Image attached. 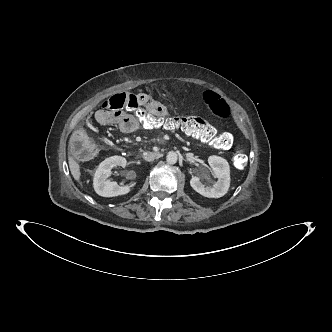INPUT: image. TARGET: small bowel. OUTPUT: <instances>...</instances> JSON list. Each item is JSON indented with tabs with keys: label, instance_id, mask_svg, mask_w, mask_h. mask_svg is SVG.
<instances>
[{
	"label": "small bowel",
	"instance_id": "c3829d8e",
	"mask_svg": "<svg viewBox=\"0 0 332 332\" xmlns=\"http://www.w3.org/2000/svg\"><path fill=\"white\" fill-rule=\"evenodd\" d=\"M137 98L139 105L154 117L167 119L170 116V109L158 101L151 100L149 95L139 93ZM95 118L102 124L118 126L125 133H137L142 128L138 116L129 110H117L113 112L110 109H99L95 113Z\"/></svg>",
	"mask_w": 332,
	"mask_h": 332
}]
</instances>
